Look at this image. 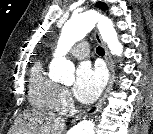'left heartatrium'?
Wrapping results in <instances>:
<instances>
[{
  "instance_id": "obj_1",
  "label": "left heart atrium",
  "mask_w": 153,
  "mask_h": 134,
  "mask_svg": "<svg viewBox=\"0 0 153 134\" xmlns=\"http://www.w3.org/2000/svg\"><path fill=\"white\" fill-rule=\"evenodd\" d=\"M104 83L105 74L102 69L83 63L76 70L74 95L81 102H93L100 95Z\"/></svg>"
}]
</instances>
